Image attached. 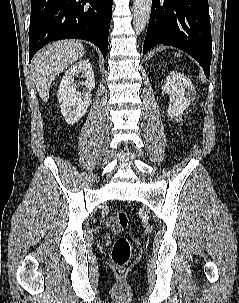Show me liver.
<instances>
[{
  "instance_id": "obj_1",
  "label": "liver",
  "mask_w": 239,
  "mask_h": 303,
  "mask_svg": "<svg viewBox=\"0 0 239 303\" xmlns=\"http://www.w3.org/2000/svg\"><path fill=\"white\" fill-rule=\"evenodd\" d=\"M84 48L80 41L63 40L48 44L33 58L31 71L40 98L47 102L49 89L63 70L82 58Z\"/></svg>"
}]
</instances>
